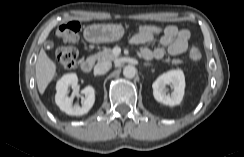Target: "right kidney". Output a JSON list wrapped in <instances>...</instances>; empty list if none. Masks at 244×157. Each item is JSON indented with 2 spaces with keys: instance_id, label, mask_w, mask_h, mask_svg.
<instances>
[{
  "instance_id": "1",
  "label": "right kidney",
  "mask_w": 244,
  "mask_h": 157,
  "mask_svg": "<svg viewBox=\"0 0 244 157\" xmlns=\"http://www.w3.org/2000/svg\"><path fill=\"white\" fill-rule=\"evenodd\" d=\"M78 86V77L75 73L64 75L56 84L55 102L61 111L71 116H81L89 112L95 102V89L92 86H86L81 93L85 99L80 107L73 105V99L68 96L69 87L76 89Z\"/></svg>"
}]
</instances>
